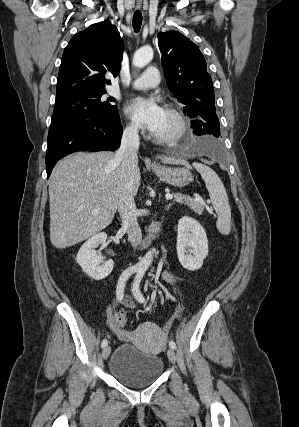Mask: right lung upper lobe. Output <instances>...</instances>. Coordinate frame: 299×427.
I'll return each instance as SVG.
<instances>
[{
	"instance_id": "1",
	"label": "right lung upper lobe",
	"mask_w": 299,
	"mask_h": 427,
	"mask_svg": "<svg viewBox=\"0 0 299 427\" xmlns=\"http://www.w3.org/2000/svg\"><path fill=\"white\" fill-rule=\"evenodd\" d=\"M123 40L116 26L96 23L75 34L66 46L57 80L56 101L105 91L106 75L120 71Z\"/></svg>"
}]
</instances>
